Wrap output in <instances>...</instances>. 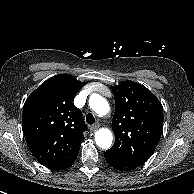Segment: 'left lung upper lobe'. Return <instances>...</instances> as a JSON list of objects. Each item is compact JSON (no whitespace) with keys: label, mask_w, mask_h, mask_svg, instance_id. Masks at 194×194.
Instances as JSON below:
<instances>
[{"label":"left lung upper lobe","mask_w":194,"mask_h":194,"mask_svg":"<svg viewBox=\"0 0 194 194\" xmlns=\"http://www.w3.org/2000/svg\"><path fill=\"white\" fill-rule=\"evenodd\" d=\"M115 143L106 154L130 165L141 166L154 152L163 129V107L143 85L124 81L113 87Z\"/></svg>","instance_id":"1"}]
</instances>
